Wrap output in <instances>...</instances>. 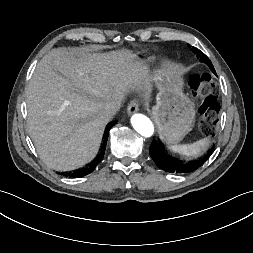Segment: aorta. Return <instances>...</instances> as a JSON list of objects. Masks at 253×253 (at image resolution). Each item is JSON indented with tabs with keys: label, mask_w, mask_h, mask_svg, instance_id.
I'll return each instance as SVG.
<instances>
[{
	"label": "aorta",
	"mask_w": 253,
	"mask_h": 253,
	"mask_svg": "<svg viewBox=\"0 0 253 253\" xmlns=\"http://www.w3.org/2000/svg\"><path fill=\"white\" fill-rule=\"evenodd\" d=\"M133 128L143 137H151L154 134V125L152 121L143 114H134L131 117Z\"/></svg>",
	"instance_id": "aorta-1"
}]
</instances>
